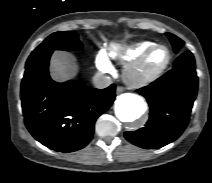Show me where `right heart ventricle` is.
Segmentation results:
<instances>
[{"label":"right heart ventricle","instance_id":"right-heart-ventricle-1","mask_svg":"<svg viewBox=\"0 0 212 183\" xmlns=\"http://www.w3.org/2000/svg\"><path fill=\"white\" fill-rule=\"evenodd\" d=\"M156 44L153 41H142L128 47L112 46L104 52V56L109 59L119 60L126 64L139 57L146 49Z\"/></svg>","mask_w":212,"mask_h":183}]
</instances>
